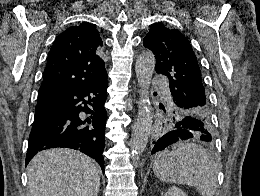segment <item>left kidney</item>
Masks as SVG:
<instances>
[{
	"instance_id": "left-kidney-1",
	"label": "left kidney",
	"mask_w": 260,
	"mask_h": 196,
	"mask_svg": "<svg viewBox=\"0 0 260 196\" xmlns=\"http://www.w3.org/2000/svg\"><path fill=\"white\" fill-rule=\"evenodd\" d=\"M163 196H186L180 188H175V186H172V188H169L168 192L166 194H163Z\"/></svg>"
}]
</instances>
